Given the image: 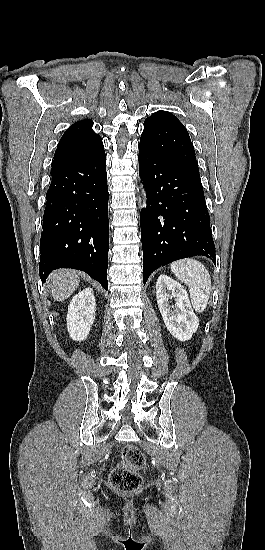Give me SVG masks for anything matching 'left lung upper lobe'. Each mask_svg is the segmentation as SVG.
<instances>
[{"label":"left lung upper lobe","mask_w":265,"mask_h":550,"mask_svg":"<svg viewBox=\"0 0 265 550\" xmlns=\"http://www.w3.org/2000/svg\"><path fill=\"white\" fill-rule=\"evenodd\" d=\"M140 144L199 176L193 144L184 125L166 111H158L144 121Z\"/></svg>","instance_id":"obj_1"}]
</instances>
